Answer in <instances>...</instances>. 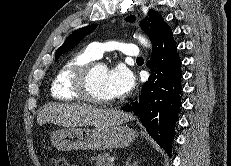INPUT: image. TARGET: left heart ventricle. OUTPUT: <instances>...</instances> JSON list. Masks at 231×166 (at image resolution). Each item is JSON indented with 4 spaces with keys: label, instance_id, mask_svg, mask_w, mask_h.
Returning a JSON list of instances; mask_svg holds the SVG:
<instances>
[{
    "label": "left heart ventricle",
    "instance_id": "obj_1",
    "mask_svg": "<svg viewBox=\"0 0 231 166\" xmlns=\"http://www.w3.org/2000/svg\"><path fill=\"white\" fill-rule=\"evenodd\" d=\"M108 70L104 66L95 69L91 78V88L93 93L101 98H113L107 85Z\"/></svg>",
    "mask_w": 231,
    "mask_h": 166
}]
</instances>
